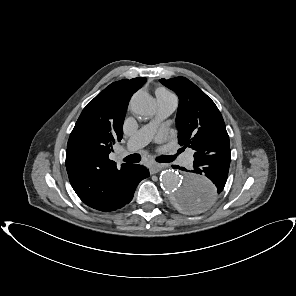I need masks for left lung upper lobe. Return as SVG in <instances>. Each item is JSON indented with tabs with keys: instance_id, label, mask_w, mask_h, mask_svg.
Listing matches in <instances>:
<instances>
[{
	"instance_id": "left-lung-upper-lobe-1",
	"label": "left lung upper lobe",
	"mask_w": 296,
	"mask_h": 296,
	"mask_svg": "<svg viewBox=\"0 0 296 296\" xmlns=\"http://www.w3.org/2000/svg\"><path fill=\"white\" fill-rule=\"evenodd\" d=\"M160 82L179 97L176 123L180 134L179 144L183 148H192L195 159L230 151L229 136L222 115L202 90L184 77L161 79Z\"/></svg>"
}]
</instances>
